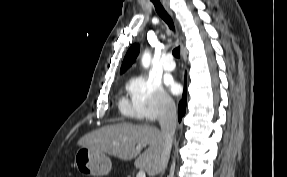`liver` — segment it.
Here are the masks:
<instances>
[{
    "instance_id": "6515ba94",
    "label": "liver",
    "mask_w": 287,
    "mask_h": 177,
    "mask_svg": "<svg viewBox=\"0 0 287 177\" xmlns=\"http://www.w3.org/2000/svg\"><path fill=\"white\" fill-rule=\"evenodd\" d=\"M78 145L122 160L136 158L135 167L143 168L149 176H155L162 168L161 131L150 125H135L128 122L107 125L83 136ZM145 146L148 148L141 154Z\"/></svg>"
}]
</instances>
